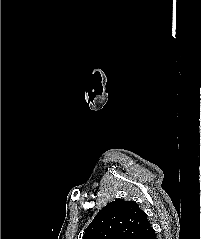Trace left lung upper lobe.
<instances>
[{
    "label": "left lung upper lobe",
    "instance_id": "5c2ea615",
    "mask_svg": "<svg viewBox=\"0 0 201 239\" xmlns=\"http://www.w3.org/2000/svg\"><path fill=\"white\" fill-rule=\"evenodd\" d=\"M151 228L136 202L117 199L98 212L83 239H144Z\"/></svg>",
    "mask_w": 201,
    "mask_h": 239
}]
</instances>
